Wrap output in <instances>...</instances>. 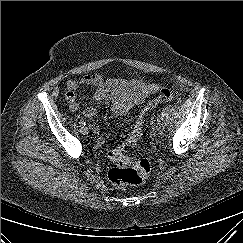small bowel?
<instances>
[{
  "mask_svg": "<svg viewBox=\"0 0 243 243\" xmlns=\"http://www.w3.org/2000/svg\"><path fill=\"white\" fill-rule=\"evenodd\" d=\"M93 87V99L111 103V118L126 117L133 106L142 104L145 99L156 93L159 86L152 81L140 79L105 78L100 74H88L78 79L69 80L66 84V101L72 111H78L77 91L81 88ZM84 116L92 121L91 128L96 136L97 146L104 144L100 126L96 121L97 112L93 107H86Z\"/></svg>",
  "mask_w": 243,
  "mask_h": 243,
  "instance_id": "small-bowel-1",
  "label": "small bowel"
}]
</instances>
